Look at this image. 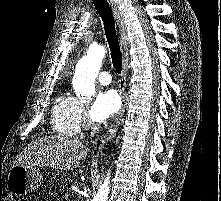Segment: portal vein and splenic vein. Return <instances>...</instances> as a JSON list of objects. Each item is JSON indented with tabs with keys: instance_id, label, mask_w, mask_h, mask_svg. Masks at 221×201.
<instances>
[{
	"instance_id": "1",
	"label": "portal vein and splenic vein",
	"mask_w": 221,
	"mask_h": 201,
	"mask_svg": "<svg viewBox=\"0 0 221 201\" xmlns=\"http://www.w3.org/2000/svg\"><path fill=\"white\" fill-rule=\"evenodd\" d=\"M68 197V195L67 194H65V198H67Z\"/></svg>"
}]
</instances>
